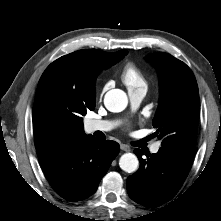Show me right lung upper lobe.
<instances>
[{"mask_svg": "<svg viewBox=\"0 0 221 221\" xmlns=\"http://www.w3.org/2000/svg\"><path fill=\"white\" fill-rule=\"evenodd\" d=\"M127 50L108 53L97 49H85L63 56L52 64L65 69L76 79L68 87V93L73 100L86 106H95L96 92L95 79L100 71L119 62ZM85 75L92 76L90 84L83 82ZM33 125L35 131V147L37 152L55 143L67 141L71 138L85 135L83 124L77 122L55 123L45 115L33 112Z\"/></svg>", "mask_w": 221, "mask_h": 221, "instance_id": "cb5924a9", "label": "right lung upper lobe"}]
</instances>
